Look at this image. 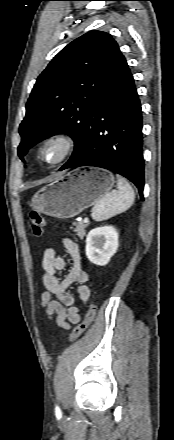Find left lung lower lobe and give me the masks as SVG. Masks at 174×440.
<instances>
[{
  "label": "left lung lower lobe",
  "instance_id": "1",
  "mask_svg": "<svg viewBox=\"0 0 174 440\" xmlns=\"http://www.w3.org/2000/svg\"><path fill=\"white\" fill-rule=\"evenodd\" d=\"M141 104L122 55L100 97L90 108L80 153L60 170L96 166L132 181L143 199L144 160Z\"/></svg>",
  "mask_w": 174,
  "mask_h": 440
}]
</instances>
